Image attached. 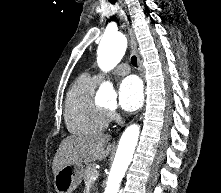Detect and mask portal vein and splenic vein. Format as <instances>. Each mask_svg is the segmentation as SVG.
<instances>
[{
  "mask_svg": "<svg viewBox=\"0 0 221 193\" xmlns=\"http://www.w3.org/2000/svg\"><path fill=\"white\" fill-rule=\"evenodd\" d=\"M99 173L96 171L95 173L92 174L90 181H95L98 178Z\"/></svg>",
  "mask_w": 221,
  "mask_h": 193,
  "instance_id": "portal-vein-and-splenic-vein-1",
  "label": "portal vein and splenic vein"
}]
</instances>
